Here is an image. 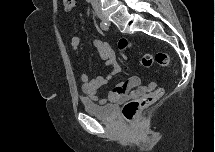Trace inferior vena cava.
Here are the masks:
<instances>
[{
    "label": "inferior vena cava",
    "instance_id": "602c4592",
    "mask_svg": "<svg viewBox=\"0 0 215 152\" xmlns=\"http://www.w3.org/2000/svg\"><path fill=\"white\" fill-rule=\"evenodd\" d=\"M92 4L98 5V0H92Z\"/></svg>",
    "mask_w": 215,
    "mask_h": 152
}]
</instances>
